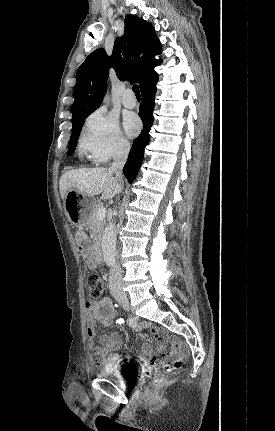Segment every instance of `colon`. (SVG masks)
<instances>
[{
  "mask_svg": "<svg viewBox=\"0 0 275 431\" xmlns=\"http://www.w3.org/2000/svg\"><path fill=\"white\" fill-rule=\"evenodd\" d=\"M86 281L88 286V295L91 300L98 299L105 290V282L104 280L95 272H88L86 274ZM169 342H172V338L169 339ZM179 350L181 359L185 358L188 355V346L184 343H179ZM181 359L175 361L172 366L174 369H177L181 365ZM164 367L159 363L153 362L146 370V375L152 378V386L154 389H158L163 386L165 382V378L161 375V368Z\"/></svg>",
  "mask_w": 275,
  "mask_h": 431,
  "instance_id": "colon-1",
  "label": "colon"
}]
</instances>
